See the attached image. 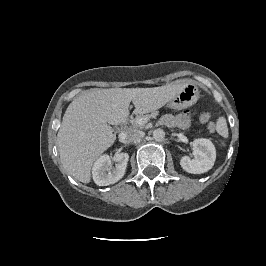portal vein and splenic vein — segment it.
Returning a JSON list of instances; mask_svg holds the SVG:
<instances>
[{"mask_svg": "<svg viewBox=\"0 0 266 266\" xmlns=\"http://www.w3.org/2000/svg\"><path fill=\"white\" fill-rule=\"evenodd\" d=\"M148 118H140L139 120H138V122L139 123H146V122H148Z\"/></svg>", "mask_w": 266, "mask_h": 266, "instance_id": "1", "label": "portal vein and splenic vein"}]
</instances>
